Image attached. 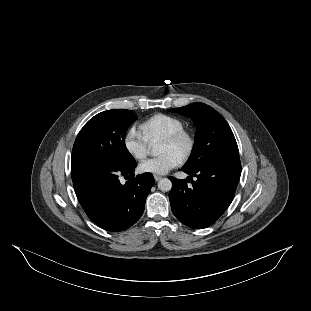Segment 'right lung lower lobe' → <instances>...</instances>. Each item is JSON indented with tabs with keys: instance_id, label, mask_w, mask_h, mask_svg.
<instances>
[{
	"instance_id": "1",
	"label": "right lung lower lobe",
	"mask_w": 311,
	"mask_h": 311,
	"mask_svg": "<svg viewBox=\"0 0 311 311\" xmlns=\"http://www.w3.org/2000/svg\"><path fill=\"white\" fill-rule=\"evenodd\" d=\"M135 161L122 166L102 160H86L71 166L77 198L87 216L101 228L119 232L136 223L154 185L151 173L134 177ZM130 174L121 184L118 175Z\"/></svg>"
}]
</instances>
